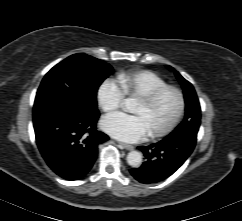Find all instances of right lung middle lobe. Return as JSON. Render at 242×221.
Instances as JSON below:
<instances>
[{
    "label": "right lung middle lobe",
    "mask_w": 242,
    "mask_h": 221,
    "mask_svg": "<svg viewBox=\"0 0 242 221\" xmlns=\"http://www.w3.org/2000/svg\"><path fill=\"white\" fill-rule=\"evenodd\" d=\"M113 68L86 54H74L54 66L38 89L33 113L66 110L82 116L98 112L96 95Z\"/></svg>",
    "instance_id": "right-lung-middle-lobe-1"
}]
</instances>
